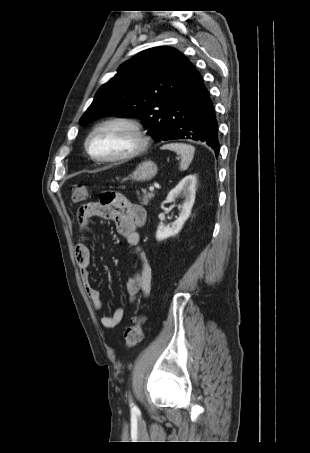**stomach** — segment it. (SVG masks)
Returning a JSON list of instances; mask_svg holds the SVG:
<instances>
[{
    "label": "stomach",
    "instance_id": "1",
    "mask_svg": "<svg viewBox=\"0 0 310 453\" xmlns=\"http://www.w3.org/2000/svg\"><path fill=\"white\" fill-rule=\"evenodd\" d=\"M157 165L152 161H143L133 171L129 178L136 182L149 181L157 174Z\"/></svg>",
    "mask_w": 310,
    "mask_h": 453
}]
</instances>
